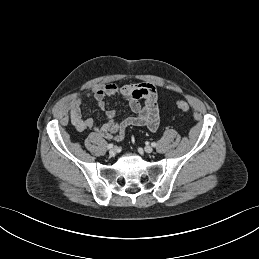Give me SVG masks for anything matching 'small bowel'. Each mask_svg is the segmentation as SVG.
<instances>
[{"label": "small bowel", "mask_w": 259, "mask_h": 259, "mask_svg": "<svg viewBox=\"0 0 259 259\" xmlns=\"http://www.w3.org/2000/svg\"><path fill=\"white\" fill-rule=\"evenodd\" d=\"M121 96L128 101L133 116L117 119L115 109H108L107 97ZM86 98H93L100 109L105 111L106 122L97 127L94 120L85 117L82 104ZM69 118L75 128L82 132L93 130L100 137L122 141L125 132L131 126H145L155 132L159 127L160 116L157 106V92L149 83L118 85L109 83L96 87L86 95L73 96L68 100Z\"/></svg>", "instance_id": "obj_1"}]
</instances>
